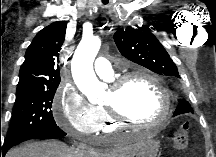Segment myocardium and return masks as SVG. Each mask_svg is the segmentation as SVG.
Segmentation results:
<instances>
[{
	"instance_id": "obj_1",
	"label": "myocardium",
	"mask_w": 216,
	"mask_h": 157,
	"mask_svg": "<svg viewBox=\"0 0 216 157\" xmlns=\"http://www.w3.org/2000/svg\"><path fill=\"white\" fill-rule=\"evenodd\" d=\"M133 78H142L150 81L158 89L162 96L163 108L159 117L153 121H140L126 115L120 108L117 101L118 96L124 85ZM110 92L114 96L113 102L104 103V108L110 115L111 119L118 125L127 124L135 127H152L163 124L171 113V98L167 88L155 76L143 70H135L117 77L110 85Z\"/></svg>"
}]
</instances>
